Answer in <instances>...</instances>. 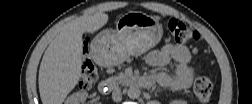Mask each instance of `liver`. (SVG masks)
<instances>
[{
	"label": "liver",
	"mask_w": 252,
	"mask_h": 104,
	"mask_svg": "<svg viewBox=\"0 0 252 104\" xmlns=\"http://www.w3.org/2000/svg\"><path fill=\"white\" fill-rule=\"evenodd\" d=\"M108 22V15L96 12L81 16L59 30L47 47L39 69V93L44 104H61L81 77L84 33H93Z\"/></svg>",
	"instance_id": "1"
}]
</instances>
